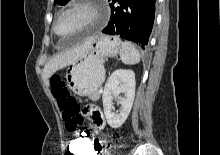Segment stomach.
<instances>
[{"label": "stomach", "instance_id": "0dacf381", "mask_svg": "<svg viewBox=\"0 0 220 155\" xmlns=\"http://www.w3.org/2000/svg\"><path fill=\"white\" fill-rule=\"evenodd\" d=\"M117 37L101 36L91 43L85 55L69 65L66 80L69 89L80 97H91L105 79L104 59L114 57L120 51Z\"/></svg>", "mask_w": 220, "mask_h": 155}]
</instances>
